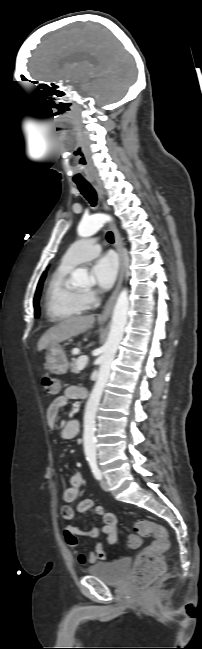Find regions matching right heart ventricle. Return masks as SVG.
<instances>
[{
	"label": "right heart ventricle",
	"instance_id": "1",
	"mask_svg": "<svg viewBox=\"0 0 202 649\" xmlns=\"http://www.w3.org/2000/svg\"><path fill=\"white\" fill-rule=\"evenodd\" d=\"M72 269V265L60 263L48 281L45 311L48 318L54 322L70 319L87 309L83 293L69 281Z\"/></svg>",
	"mask_w": 202,
	"mask_h": 649
}]
</instances>
